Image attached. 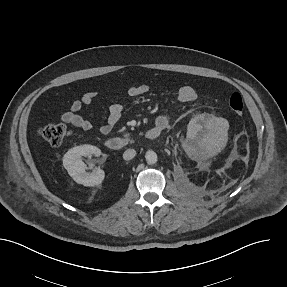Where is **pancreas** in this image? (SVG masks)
I'll return each instance as SVG.
<instances>
[{"mask_svg":"<svg viewBox=\"0 0 287 287\" xmlns=\"http://www.w3.org/2000/svg\"><path fill=\"white\" fill-rule=\"evenodd\" d=\"M124 137L130 141V135L129 134H125Z\"/></svg>","mask_w":287,"mask_h":287,"instance_id":"1","label":"pancreas"}]
</instances>
